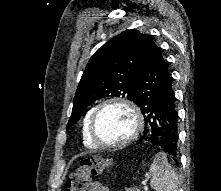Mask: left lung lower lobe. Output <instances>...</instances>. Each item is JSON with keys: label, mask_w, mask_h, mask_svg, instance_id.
Instances as JSON below:
<instances>
[{"label": "left lung lower lobe", "mask_w": 221, "mask_h": 191, "mask_svg": "<svg viewBox=\"0 0 221 191\" xmlns=\"http://www.w3.org/2000/svg\"><path fill=\"white\" fill-rule=\"evenodd\" d=\"M172 81L167 62L151 39L136 85V104L145 120V130L138 142L148 141L176 160L178 112Z\"/></svg>", "instance_id": "obj_1"}]
</instances>
